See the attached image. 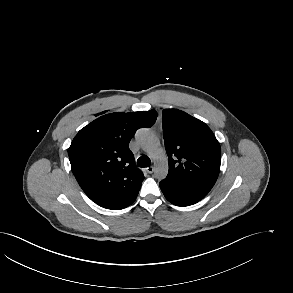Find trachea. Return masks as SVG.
I'll return each instance as SVG.
<instances>
[{
	"mask_svg": "<svg viewBox=\"0 0 293 293\" xmlns=\"http://www.w3.org/2000/svg\"><path fill=\"white\" fill-rule=\"evenodd\" d=\"M137 163L139 167H149L151 165V160L146 156H141L138 158Z\"/></svg>",
	"mask_w": 293,
	"mask_h": 293,
	"instance_id": "obj_1",
	"label": "trachea"
}]
</instances>
